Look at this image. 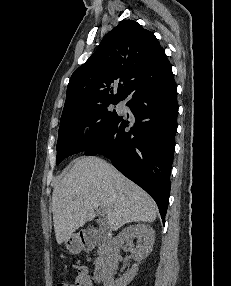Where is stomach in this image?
<instances>
[{
  "instance_id": "1",
  "label": "stomach",
  "mask_w": 231,
  "mask_h": 286,
  "mask_svg": "<svg viewBox=\"0 0 231 286\" xmlns=\"http://www.w3.org/2000/svg\"><path fill=\"white\" fill-rule=\"evenodd\" d=\"M65 246L71 253H78L82 248L79 238L75 235L65 241Z\"/></svg>"
}]
</instances>
